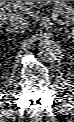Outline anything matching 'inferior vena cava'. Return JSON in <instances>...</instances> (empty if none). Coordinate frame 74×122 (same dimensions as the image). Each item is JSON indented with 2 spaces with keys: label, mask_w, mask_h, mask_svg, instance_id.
<instances>
[{
  "label": "inferior vena cava",
  "mask_w": 74,
  "mask_h": 122,
  "mask_svg": "<svg viewBox=\"0 0 74 122\" xmlns=\"http://www.w3.org/2000/svg\"><path fill=\"white\" fill-rule=\"evenodd\" d=\"M10 25L15 29H26L29 26L28 17L23 13H14L8 18Z\"/></svg>",
  "instance_id": "602c4592"
}]
</instances>
